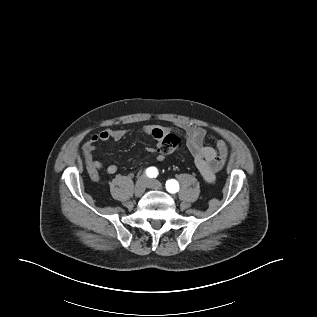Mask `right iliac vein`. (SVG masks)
Listing matches in <instances>:
<instances>
[{
    "mask_svg": "<svg viewBox=\"0 0 317 317\" xmlns=\"http://www.w3.org/2000/svg\"><path fill=\"white\" fill-rule=\"evenodd\" d=\"M147 182H148V179L145 177V176H141L136 184H135V194L137 196H141L143 195V193L145 192L146 190V187H147Z\"/></svg>",
    "mask_w": 317,
    "mask_h": 317,
    "instance_id": "obj_1",
    "label": "right iliac vein"
}]
</instances>
